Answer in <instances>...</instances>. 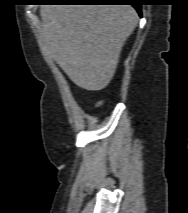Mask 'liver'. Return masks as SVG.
Segmentation results:
<instances>
[{"label": "liver", "instance_id": "1", "mask_svg": "<svg viewBox=\"0 0 188 213\" xmlns=\"http://www.w3.org/2000/svg\"><path fill=\"white\" fill-rule=\"evenodd\" d=\"M40 16L45 49L74 84L88 91L110 83L139 19L131 5H42Z\"/></svg>", "mask_w": 188, "mask_h": 213}]
</instances>
